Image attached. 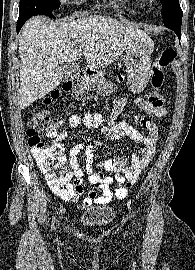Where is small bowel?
Instances as JSON below:
<instances>
[{
	"instance_id": "1",
	"label": "small bowel",
	"mask_w": 195,
	"mask_h": 270,
	"mask_svg": "<svg viewBox=\"0 0 195 270\" xmlns=\"http://www.w3.org/2000/svg\"><path fill=\"white\" fill-rule=\"evenodd\" d=\"M128 98L121 97L114 105L108 121L102 127V134L110 141L118 140L127 137L139 145L136 152L133 154L131 162H127L123 156L110 158L95 164L93 161L95 147L93 145L85 146L83 143L74 145L69 152V163L71 171L69 175L74 178V185L71 192L60 195L63 200L75 202L84 193L85 171L78 164V156L81 151L85 150L87 154L86 159V181L90 184L97 185L101 191L98 196L95 190H89L87 197L83 200L82 206L89 207L92 204H107L114 197L123 199L127 195V190L123 186L125 181H136L139 174L149 165L153 159L158 141V126L156 122L148 117L142 116L139 118L141 126L148 131L149 135L144 136L133 126L119 121L118 118L127 105ZM136 106H141L143 98H136L134 100ZM145 112L157 116L164 117L167 114L164 106H159ZM68 122L70 127L78 128L84 126L88 130L97 129L103 124V116L98 112H85L82 116L79 114H71L65 119L59 120L56 125L61 126ZM67 137V130L57 131L54 135L55 142H61ZM102 168L104 171L115 173L114 176H104L102 173L94 172V168ZM116 183L115 190H112L111 185Z\"/></svg>"
}]
</instances>
